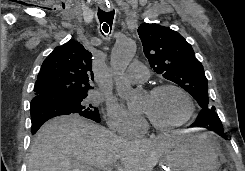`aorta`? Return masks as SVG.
<instances>
[{
    "instance_id": "obj_1",
    "label": "aorta",
    "mask_w": 245,
    "mask_h": 171,
    "mask_svg": "<svg viewBox=\"0 0 245 171\" xmlns=\"http://www.w3.org/2000/svg\"><path fill=\"white\" fill-rule=\"evenodd\" d=\"M136 53V43L131 38H120L116 41L111 54L110 66L113 73L120 77L131 63ZM117 94L123 99L127 107L132 111L141 108L143 93L139 90L132 89L130 86L118 83L116 88Z\"/></svg>"
}]
</instances>
